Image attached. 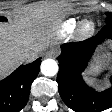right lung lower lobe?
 I'll list each match as a JSON object with an SVG mask.
<instances>
[{"mask_svg": "<svg viewBox=\"0 0 112 112\" xmlns=\"http://www.w3.org/2000/svg\"><path fill=\"white\" fill-rule=\"evenodd\" d=\"M41 60L21 65L0 81V112H19L27 103L30 87L39 73Z\"/></svg>", "mask_w": 112, "mask_h": 112, "instance_id": "1", "label": "right lung lower lobe"}]
</instances>
